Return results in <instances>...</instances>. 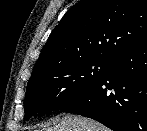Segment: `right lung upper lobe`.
I'll return each instance as SVG.
<instances>
[{
    "label": "right lung upper lobe",
    "mask_w": 147,
    "mask_h": 131,
    "mask_svg": "<svg viewBox=\"0 0 147 131\" xmlns=\"http://www.w3.org/2000/svg\"><path fill=\"white\" fill-rule=\"evenodd\" d=\"M147 40V0H81L51 32L32 76L91 58L114 60Z\"/></svg>",
    "instance_id": "obj_1"
}]
</instances>
